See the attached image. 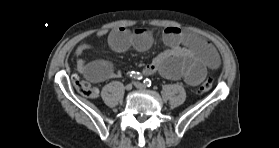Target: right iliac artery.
<instances>
[{"label":"right iliac artery","instance_id":"right-iliac-artery-1","mask_svg":"<svg viewBox=\"0 0 279 148\" xmlns=\"http://www.w3.org/2000/svg\"><path fill=\"white\" fill-rule=\"evenodd\" d=\"M129 76L131 78L138 79V80L142 79V75L139 72L132 71L129 73Z\"/></svg>","mask_w":279,"mask_h":148}]
</instances>
